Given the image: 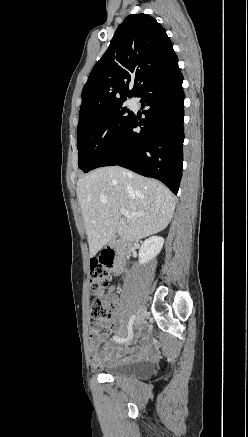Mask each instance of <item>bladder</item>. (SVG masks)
Listing matches in <instances>:
<instances>
[{"mask_svg":"<svg viewBox=\"0 0 248 437\" xmlns=\"http://www.w3.org/2000/svg\"><path fill=\"white\" fill-rule=\"evenodd\" d=\"M152 371L147 362H132L123 365H113L105 370V373L114 378L145 379Z\"/></svg>","mask_w":248,"mask_h":437,"instance_id":"obj_1","label":"bladder"}]
</instances>
